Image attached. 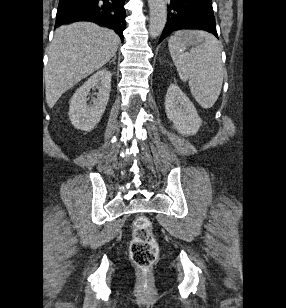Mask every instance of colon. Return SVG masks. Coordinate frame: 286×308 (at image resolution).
Here are the masks:
<instances>
[{
    "label": "colon",
    "instance_id": "obj_1",
    "mask_svg": "<svg viewBox=\"0 0 286 308\" xmlns=\"http://www.w3.org/2000/svg\"><path fill=\"white\" fill-rule=\"evenodd\" d=\"M159 246L153 236L150 219L139 216L133 223V238L130 244V257L133 263L142 270L149 269L157 260Z\"/></svg>",
    "mask_w": 286,
    "mask_h": 308
}]
</instances>
